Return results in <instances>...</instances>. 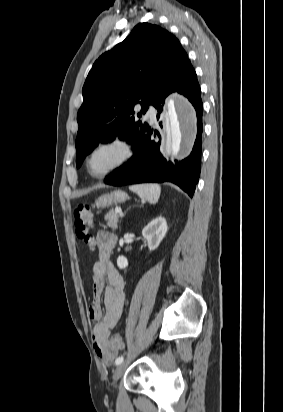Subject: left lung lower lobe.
Listing matches in <instances>:
<instances>
[{"mask_svg":"<svg viewBox=\"0 0 283 412\" xmlns=\"http://www.w3.org/2000/svg\"><path fill=\"white\" fill-rule=\"evenodd\" d=\"M174 92L186 96L196 109L198 131L190 156L181 162H167L160 151V135L149 126L138 135L132 136L129 143L135 150L133 158L110 174L104 180L106 184L119 186L143 182H172L190 197L193 196L200 176L203 108L200 86L194 69L175 85ZM157 110L159 113L162 111L161 105ZM156 134L159 139L156 138Z\"/></svg>","mask_w":283,"mask_h":412,"instance_id":"1","label":"left lung lower lobe"}]
</instances>
